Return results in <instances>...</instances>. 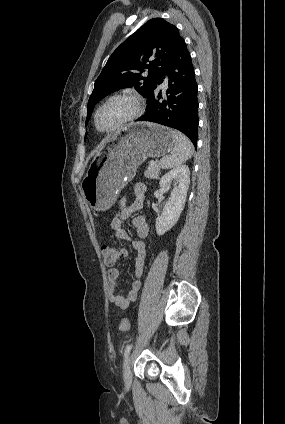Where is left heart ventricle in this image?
<instances>
[{
  "instance_id": "1",
  "label": "left heart ventricle",
  "mask_w": 285,
  "mask_h": 424,
  "mask_svg": "<svg viewBox=\"0 0 285 424\" xmlns=\"http://www.w3.org/2000/svg\"><path fill=\"white\" fill-rule=\"evenodd\" d=\"M133 111V105L129 100L118 99L110 102L102 109L97 118L100 129H106L117 124Z\"/></svg>"
}]
</instances>
